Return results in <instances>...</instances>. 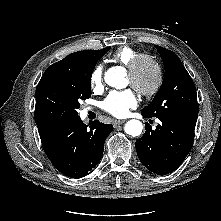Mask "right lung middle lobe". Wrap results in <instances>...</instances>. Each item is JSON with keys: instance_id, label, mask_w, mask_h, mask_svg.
Instances as JSON below:
<instances>
[{"instance_id": "dd1d6c3e", "label": "right lung middle lobe", "mask_w": 221, "mask_h": 221, "mask_svg": "<svg viewBox=\"0 0 221 221\" xmlns=\"http://www.w3.org/2000/svg\"><path fill=\"white\" fill-rule=\"evenodd\" d=\"M98 54L68 69L43 74L36 88L34 118L37 127L72 120L78 117L79 102L91 96V76Z\"/></svg>"}]
</instances>
